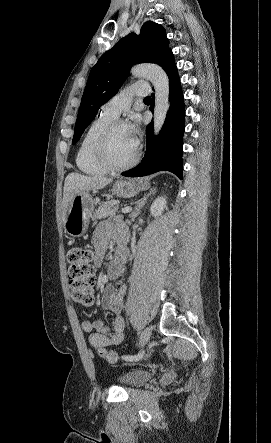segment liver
<instances>
[{
	"instance_id": "obj_1",
	"label": "liver",
	"mask_w": 271,
	"mask_h": 443,
	"mask_svg": "<svg viewBox=\"0 0 271 443\" xmlns=\"http://www.w3.org/2000/svg\"><path fill=\"white\" fill-rule=\"evenodd\" d=\"M113 182L112 178H95V176H82V174H68L64 182V192L62 200L63 218L62 222L65 223L66 210L70 206L73 198L76 194H79L80 190H102L108 184Z\"/></svg>"
}]
</instances>
